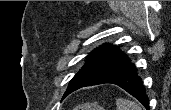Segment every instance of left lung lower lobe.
I'll list each match as a JSON object with an SVG mask.
<instances>
[{"mask_svg":"<svg viewBox=\"0 0 171 110\" xmlns=\"http://www.w3.org/2000/svg\"><path fill=\"white\" fill-rule=\"evenodd\" d=\"M104 83H112L120 86L129 94L138 99L145 106V108L149 110V100L143 89V83L140 77L137 75V69L129 59L122 64L104 72L94 80L76 86L68 94L81 87Z\"/></svg>","mask_w":171,"mask_h":110,"instance_id":"0a47b994","label":"left lung lower lobe"}]
</instances>
